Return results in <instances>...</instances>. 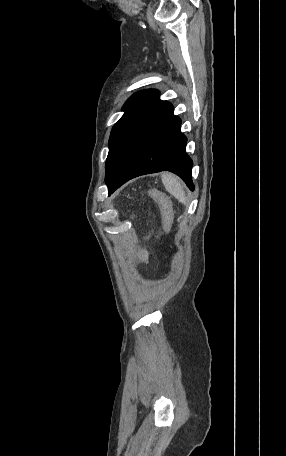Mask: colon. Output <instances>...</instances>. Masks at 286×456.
<instances>
[{
    "instance_id": "obj_1",
    "label": "colon",
    "mask_w": 286,
    "mask_h": 456,
    "mask_svg": "<svg viewBox=\"0 0 286 456\" xmlns=\"http://www.w3.org/2000/svg\"><path fill=\"white\" fill-rule=\"evenodd\" d=\"M151 195L159 203V205L163 211V214H164L165 223H168L170 215H171V203H170L169 199L158 190H152Z\"/></svg>"
}]
</instances>
